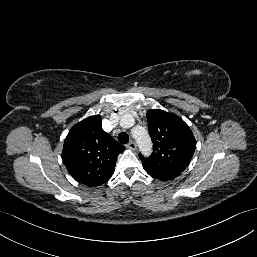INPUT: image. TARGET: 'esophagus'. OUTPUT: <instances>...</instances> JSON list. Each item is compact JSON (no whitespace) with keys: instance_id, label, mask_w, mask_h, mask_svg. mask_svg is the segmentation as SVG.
Instances as JSON below:
<instances>
[{"instance_id":"esophagus-1","label":"esophagus","mask_w":257,"mask_h":257,"mask_svg":"<svg viewBox=\"0 0 257 257\" xmlns=\"http://www.w3.org/2000/svg\"><path fill=\"white\" fill-rule=\"evenodd\" d=\"M126 147H127L128 149H130V150H136L137 145H136V143H135L134 141H131V142H129V143L127 144Z\"/></svg>"}]
</instances>
